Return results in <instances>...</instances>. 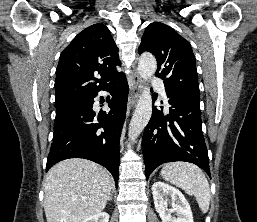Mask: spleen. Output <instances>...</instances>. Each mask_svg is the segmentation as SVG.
Instances as JSON below:
<instances>
[{"instance_id": "3e777b00", "label": "spleen", "mask_w": 257, "mask_h": 222, "mask_svg": "<svg viewBox=\"0 0 257 222\" xmlns=\"http://www.w3.org/2000/svg\"><path fill=\"white\" fill-rule=\"evenodd\" d=\"M160 173L166 181L182 188L189 195H194L201 211L208 212L210 187L200 168L191 163L173 162L165 164Z\"/></svg>"}]
</instances>
